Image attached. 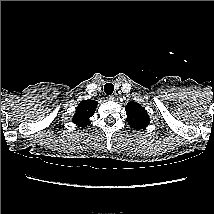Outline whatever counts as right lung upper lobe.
<instances>
[{
    "label": "right lung upper lobe",
    "mask_w": 214,
    "mask_h": 214,
    "mask_svg": "<svg viewBox=\"0 0 214 214\" xmlns=\"http://www.w3.org/2000/svg\"><path fill=\"white\" fill-rule=\"evenodd\" d=\"M97 104V101L91 99L81 101L72 121L80 127L89 126L90 117L95 113Z\"/></svg>",
    "instance_id": "cb5924a9"
}]
</instances>
